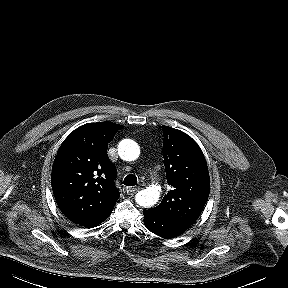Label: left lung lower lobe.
<instances>
[{"label":"left lung lower lobe","mask_w":288,"mask_h":288,"mask_svg":"<svg viewBox=\"0 0 288 288\" xmlns=\"http://www.w3.org/2000/svg\"><path fill=\"white\" fill-rule=\"evenodd\" d=\"M144 224L146 228L152 233L170 239L183 234L187 229L180 227L170 221H167L160 216L156 215L151 209L143 210Z\"/></svg>","instance_id":"1"}]
</instances>
